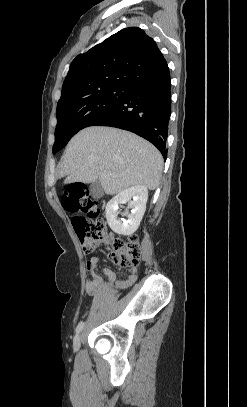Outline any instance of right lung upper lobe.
I'll use <instances>...</instances> for the list:
<instances>
[{
  "label": "right lung upper lobe",
  "mask_w": 247,
  "mask_h": 407,
  "mask_svg": "<svg viewBox=\"0 0 247 407\" xmlns=\"http://www.w3.org/2000/svg\"><path fill=\"white\" fill-rule=\"evenodd\" d=\"M166 63L156 42L142 29H122L73 60L57 107L106 88L128 87Z\"/></svg>",
  "instance_id": "cb5924a9"
}]
</instances>
